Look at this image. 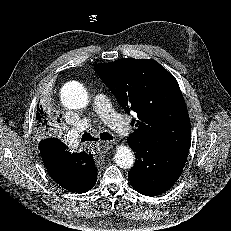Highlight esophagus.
<instances>
[{
  "label": "esophagus",
  "mask_w": 231,
  "mask_h": 231,
  "mask_svg": "<svg viewBox=\"0 0 231 231\" xmlns=\"http://www.w3.org/2000/svg\"><path fill=\"white\" fill-rule=\"evenodd\" d=\"M114 146V142H110V141H102L100 143V149L103 153L108 152L110 149H112Z\"/></svg>",
  "instance_id": "34e87169"
}]
</instances>
